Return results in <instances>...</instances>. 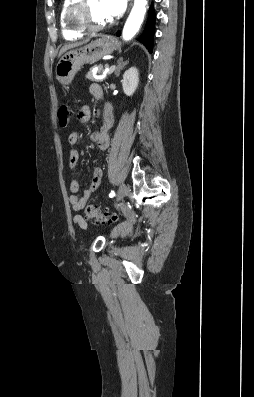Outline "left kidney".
I'll use <instances>...</instances> for the list:
<instances>
[{
  "instance_id": "obj_1",
  "label": "left kidney",
  "mask_w": 254,
  "mask_h": 397,
  "mask_svg": "<svg viewBox=\"0 0 254 397\" xmlns=\"http://www.w3.org/2000/svg\"><path fill=\"white\" fill-rule=\"evenodd\" d=\"M139 73L135 67H131L125 71L122 79L123 91L127 96H132L137 89L139 83Z\"/></svg>"
}]
</instances>
